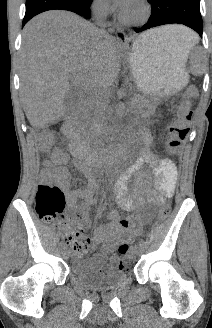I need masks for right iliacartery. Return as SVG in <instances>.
I'll return each mask as SVG.
<instances>
[{
    "instance_id": "right-iliac-artery-1",
    "label": "right iliac artery",
    "mask_w": 212,
    "mask_h": 328,
    "mask_svg": "<svg viewBox=\"0 0 212 328\" xmlns=\"http://www.w3.org/2000/svg\"><path fill=\"white\" fill-rule=\"evenodd\" d=\"M61 247H63V248L65 247L64 243L61 244Z\"/></svg>"
}]
</instances>
